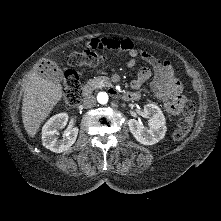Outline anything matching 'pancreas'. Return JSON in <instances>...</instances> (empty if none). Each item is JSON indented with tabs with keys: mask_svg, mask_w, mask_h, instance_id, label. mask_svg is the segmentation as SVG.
Returning <instances> with one entry per match:
<instances>
[{
	"mask_svg": "<svg viewBox=\"0 0 221 221\" xmlns=\"http://www.w3.org/2000/svg\"><path fill=\"white\" fill-rule=\"evenodd\" d=\"M108 86H111V81L106 76H99L94 79H90L86 85V87H90L91 90Z\"/></svg>",
	"mask_w": 221,
	"mask_h": 221,
	"instance_id": "cf45deb5",
	"label": "pancreas"
}]
</instances>
